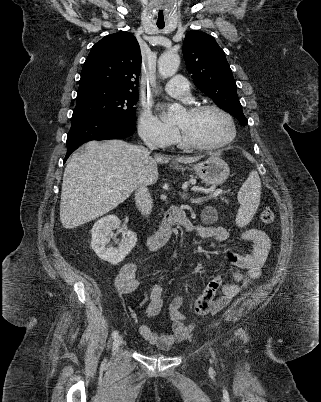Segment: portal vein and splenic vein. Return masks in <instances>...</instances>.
I'll use <instances>...</instances> for the list:
<instances>
[{
	"label": "portal vein and splenic vein",
	"instance_id": "portal-vein-and-splenic-vein-1",
	"mask_svg": "<svg viewBox=\"0 0 321 402\" xmlns=\"http://www.w3.org/2000/svg\"><path fill=\"white\" fill-rule=\"evenodd\" d=\"M223 193H224V191H223L222 189L215 190L214 192H212V193L209 195V198H211V197H216V196H220V195H222ZM203 199H205V198L191 199V202H192V203H199V202L203 201Z\"/></svg>",
	"mask_w": 321,
	"mask_h": 402
}]
</instances>
